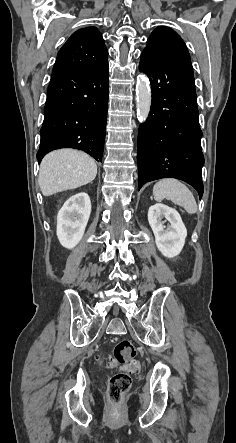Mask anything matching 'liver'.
Masks as SVG:
<instances>
[{
    "label": "liver",
    "mask_w": 236,
    "mask_h": 443,
    "mask_svg": "<svg viewBox=\"0 0 236 443\" xmlns=\"http://www.w3.org/2000/svg\"><path fill=\"white\" fill-rule=\"evenodd\" d=\"M96 175V162L89 155L73 149H60L43 158L38 183L42 194L51 196L86 185Z\"/></svg>",
    "instance_id": "obj_1"
}]
</instances>
